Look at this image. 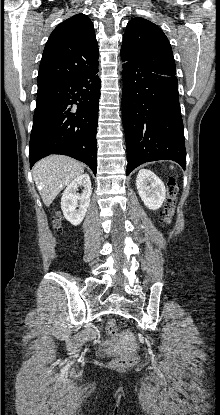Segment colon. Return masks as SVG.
<instances>
[{"mask_svg":"<svg viewBox=\"0 0 220 415\" xmlns=\"http://www.w3.org/2000/svg\"><path fill=\"white\" fill-rule=\"evenodd\" d=\"M176 194H177V183L174 178H169L167 180V196L162 212V222L163 224H169L171 217L174 212L175 203H176ZM55 227L60 229V224L58 221L55 222ZM107 332L111 339H116L118 337V328L117 323L114 318H110L107 321ZM137 359L134 356L131 357H119L113 360V366L115 368H128L136 363Z\"/></svg>","mask_w":220,"mask_h":415,"instance_id":"5ec220e1","label":"colon"}]
</instances>
